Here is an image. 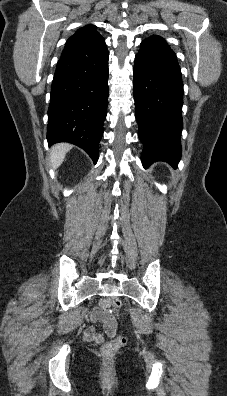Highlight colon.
Instances as JSON below:
<instances>
[{"label": "colon", "mask_w": 227, "mask_h": 396, "mask_svg": "<svg viewBox=\"0 0 227 396\" xmlns=\"http://www.w3.org/2000/svg\"><path fill=\"white\" fill-rule=\"evenodd\" d=\"M123 306V302L120 298L116 297L111 301L110 312L113 314H118ZM126 338L124 336H117L113 340L105 343L102 346V353L105 356H112L118 349L126 344Z\"/></svg>", "instance_id": "5ec220e1"}]
</instances>
